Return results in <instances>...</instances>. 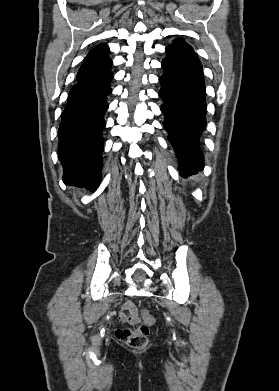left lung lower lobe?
I'll list each match as a JSON object with an SVG mask.
<instances>
[{"label":"left lung lower lobe","mask_w":279,"mask_h":391,"mask_svg":"<svg viewBox=\"0 0 279 391\" xmlns=\"http://www.w3.org/2000/svg\"><path fill=\"white\" fill-rule=\"evenodd\" d=\"M159 78L163 100V126L175 149L182 175L203 169L199 137L206 126V92L199 59L186 50L166 48Z\"/></svg>","instance_id":"obj_1"}]
</instances>
